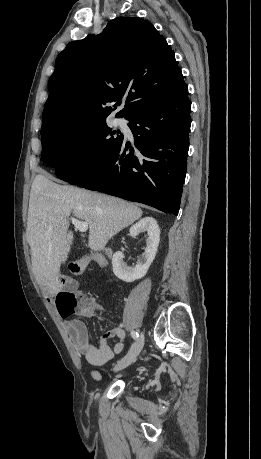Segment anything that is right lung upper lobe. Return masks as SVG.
Returning <instances> with one entry per match:
<instances>
[{"label": "right lung upper lobe", "instance_id": "obj_1", "mask_svg": "<svg viewBox=\"0 0 261 459\" xmlns=\"http://www.w3.org/2000/svg\"><path fill=\"white\" fill-rule=\"evenodd\" d=\"M184 84L174 52L152 24L137 17L116 18L100 35L70 42L58 55L41 132L104 121L115 110L106 104L123 97L126 105L116 117L128 119Z\"/></svg>", "mask_w": 261, "mask_h": 459}]
</instances>
